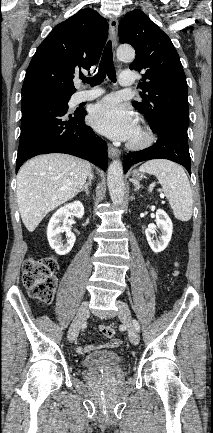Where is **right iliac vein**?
Here are the masks:
<instances>
[{"instance_id":"obj_1","label":"right iliac vein","mask_w":213,"mask_h":433,"mask_svg":"<svg viewBox=\"0 0 213 433\" xmlns=\"http://www.w3.org/2000/svg\"><path fill=\"white\" fill-rule=\"evenodd\" d=\"M88 315H89V304L88 302H84L80 306L76 314V317L69 328L67 338L70 342H74L77 339L81 325L86 320Z\"/></svg>"}]
</instances>
